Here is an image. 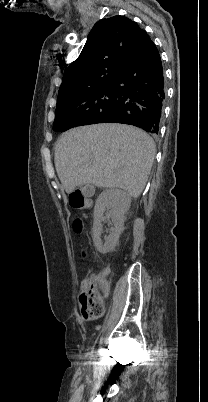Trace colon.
<instances>
[{
  "label": "colon",
  "instance_id": "1",
  "mask_svg": "<svg viewBox=\"0 0 208 402\" xmlns=\"http://www.w3.org/2000/svg\"><path fill=\"white\" fill-rule=\"evenodd\" d=\"M71 225L74 230V237H83L85 231L84 218L80 215L74 216ZM78 253L84 257L87 250L81 247ZM109 285V277H98L95 273H90L89 277H84L79 301L80 314H105V300L100 299V294L102 293L101 287ZM103 294H108V289H103Z\"/></svg>",
  "mask_w": 208,
  "mask_h": 402
}]
</instances>
